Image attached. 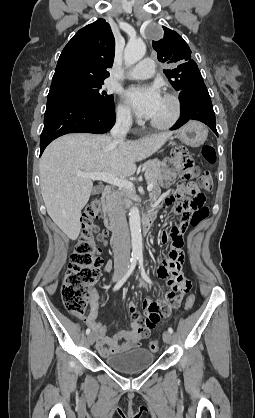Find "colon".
Wrapping results in <instances>:
<instances>
[{
    "label": "colon",
    "instance_id": "colon-1",
    "mask_svg": "<svg viewBox=\"0 0 255 418\" xmlns=\"http://www.w3.org/2000/svg\"><path fill=\"white\" fill-rule=\"evenodd\" d=\"M201 155L209 164H214L216 161V152L212 146H204ZM183 176L185 179L197 177L196 184L188 185L193 197L183 200L175 208L176 214L182 213V227L187 229L189 224L195 226L208 216L209 211L204 206L205 196L200 190H211L213 182L208 171L196 173L192 163H183ZM101 211L100 199H94L86 206L83 213V230L61 287L64 306L75 317L84 314L90 296V286L96 281L103 262L101 244L105 243L107 234L95 223ZM194 303L195 297L191 294L186 299L185 310H190ZM148 347L151 351H157L159 341L152 340Z\"/></svg>",
    "mask_w": 255,
    "mask_h": 418
}]
</instances>
